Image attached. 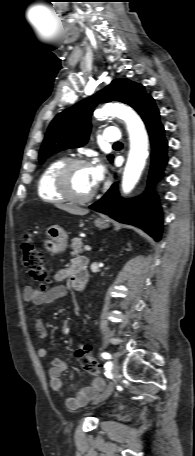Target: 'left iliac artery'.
<instances>
[{
    "label": "left iliac artery",
    "instance_id": "44dca946",
    "mask_svg": "<svg viewBox=\"0 0 195 456\" xmlns=\"http://www.w3.org/2000/svg\"><path fill=\"white\" fill-rule=\"evenodd\" d=\"M101 356L104 358V359H111V355L107 352H104L101 354Z\"/></svg>",
    "mask_w": 195,
    "mask_h": 456
}]
</instances>
